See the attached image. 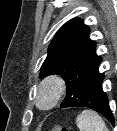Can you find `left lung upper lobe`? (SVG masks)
<instances>
[{
    "label": "left lung upper lobe",
    "instance_id": "left-lung-upper-lobe-1",
    "mask_svg": "<svg viewBox=\"0 0 117 131\" xmlns=\"http://www.w3.org/2000/svg\"><path fill=\"white\" fill-rule=\"evenodd\" d=\"M95 48V41L89 38V28L81 19L66 22L49 46L40 78L50 73L60 74L66 81L67 92L70 88H81L102 60L97 56ZM70 99V96L66 95L60 107H67Z\"/></svg>",
    "mask_w": 117,
    "mask_h": 131
}]
</instances>
